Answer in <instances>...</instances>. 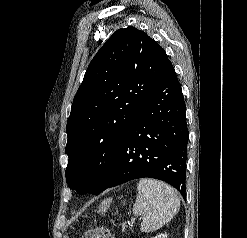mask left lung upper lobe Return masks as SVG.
Returning a JSON list of instances; mask_svg holds the SVG:
<instances>
[{"instance_id": "1", "label": "left lung upper lobe", "mask_w": 247, "mask_h": 238, "mask_svg": "<svg viewBox=\"0 0 247 238\" xmlns=\"http://www.w3.org/2000/svg\"><path fill=\"white\" fill-rule=\"evenodd\" d=\"M167 60L155 40L132 26L114 32L94 56L66 126V181L77 193L103 191L119 149Z\"/></svg>"}]
</instances>
